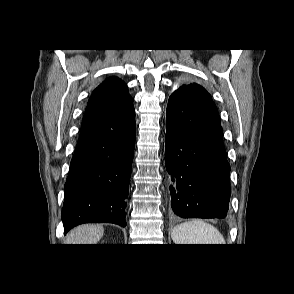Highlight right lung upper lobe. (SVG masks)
<instances>
[{"label": "right lung upper lobe", "instance_id": "right-lung-upper-lobe-1", "mask_svg": "<svg viewBox=\"0 0 294 294\" xmlns=\"http://www.w3.org/2000/svg\"><path fill=\"white\" fill-rule=\"evenodd\" d=\"M130 98L127 85L117 77H110L94 90L88 101L86 113L115 108Z\"/></svg>", "mask_w": 294, "mask_h": 294}]
</instances>
